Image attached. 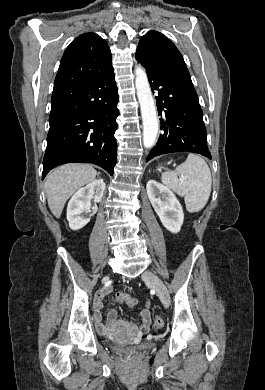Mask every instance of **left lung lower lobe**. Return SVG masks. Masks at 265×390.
Returning a JSON list of instances; mask_svg holds the SVG:
<instances>
[{
  "mask_svg": "<svg viewBox=\"0 0 265 390\" xmlns=\"http://www.w3.org/2000/svg\"><path fill=\"white\" fill-rule=\"evenodd\" d=\"M139 62L146 68L152 91H157L158 114L163 116L162 132L146 162L174 152H193L211 159L203 112L189 72L160 71Z\"/></svg>",
  "mask_w": 265,
  "mask_h": 390,
  "instance_id": "obj_1",
  "label": "left lung lower lobe"
}]
</instances>
